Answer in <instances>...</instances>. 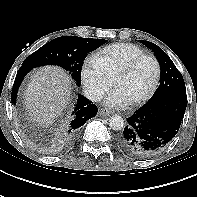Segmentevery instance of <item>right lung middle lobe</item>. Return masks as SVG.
<instances>
[{"label": "right lung middle lobe", "mask_w": 197, "mask_h": 197, "mask_svg": "<svg viewBox=\"0 0 197 197\" xmlns=\"http://www.w3.org/2000/svg\"><path fill=\"white\" fill-rule=\"evenodd\" d=\"M107 40L74 36L58 37L28 56L24 67L58 65L68 71L77 85L81 84V69L87 54L105 44Z\"/></svg>", "instance_id": "obj_1"}]
</instances>
